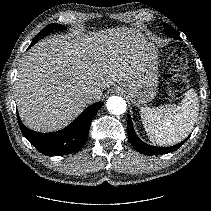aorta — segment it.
<instances>
[{"instance_id": "obj_1", "label": "aorta", "mask_w": 211, "mask_h": 211, "mask_svg": "<svg viewBox=\"0 0 211 211\" xmlns=\"http://www.w3.org/2000/svg\"><path fill=\"white\" fill-rule=\"evenodd\" d=\"M108 111L114 115H121L126 112V102L120 96H111L106 102Z\"/></svg>"}]
</instances>
